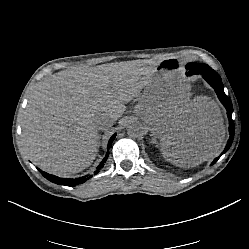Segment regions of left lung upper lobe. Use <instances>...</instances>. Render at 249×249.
<instances>
[{"mask_svg": "<svg viewBox=\"0 0 249 249\" xmlns=\"http://www.w3.org/2000/svg\"><path fill=\"white\" fill-rule=\"evenodd\" d=\"M188 70L187 73L189 74H204V73H209V71L212 69L206 64H201V63H189L188 66L186 67Z\"/></svg>", "mask_w": 249, "mask_h": 249, "instance_id": "5c2ea615", "label": "left lung upper lobe"}]
</instances>
